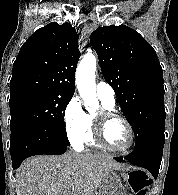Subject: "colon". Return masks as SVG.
Listing matches in <instances>:
<instances>
[{
  "mask_svg": "<svg viewBox=\"0 0 178 195\" xmlns=\"http://www.w3.org/2000/svg\"><path fill=\"white\" fill-rule=\"evenodd\" d=\"M132 189L135 195H146V190L150 185V177L142 171H135L130 178Z\"/></svg>",
  "mask_w": 178,
  "mask_h": 195,
  "instance_id": "obj_1",
  "label": "colon"
}]
</instances>
